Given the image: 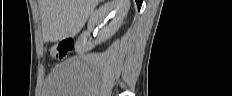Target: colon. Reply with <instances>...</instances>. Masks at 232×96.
Returning a JSON list of instances; mask_svg holds the SVG:
<instances>
[{
    "label": "colon",
    "mask_w": 232,
    "mask_h": 96,
    "mask_svg": "<svg viewBox=\"0 0 232 96\" xmlns=\"http://www.w3.org/2000/svg\"><path fill=\"white\" fill-rule=\"evenodd\" d=\"M74 45L75 42L73 39H63L50 47L49 55L54 59H65L67 55L73 50Z\"/></svg>",
    "instance_id": "obj_1"
}]
</instances>
